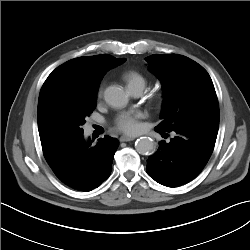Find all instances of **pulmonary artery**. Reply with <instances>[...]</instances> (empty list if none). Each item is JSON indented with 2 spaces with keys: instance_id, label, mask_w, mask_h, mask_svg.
<instances>
[{
  "instance_id": "pulmonary-artery-1",
  "label": "pulmonary artery",
  "mask_w": 250,
  "mask_h": 250,
  "mask_svg": "<svg viewBox=\"0 0 250 250\" xmlns=\"http://www.w3.org/2000/svg\"><path fill=\"white\" fill-rule=\"evenodd\" d=\"M129 92L133 95V96H140L143 93L144 87L142 85H133L128 87Z\"/></svg>"
}]
</instances>
